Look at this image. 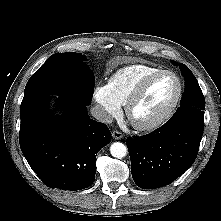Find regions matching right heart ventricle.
<instances>
[{"instance_id": "right-heart-ventricle-1", "label": "right heart ventricle", "mask_w": 221, "mask_h": 221, "mask_svg": "<svg viewBox=\"0 0 221 221\" xmlns=\"http://www.w3.org/2000/svg\"><path fill=\"white\" fill-rule=\"evenodd\" d=\"M159 70L161 69L147 64L127 65L112 74L107 86L114 99L120 105H125L139 82L144 77Z\"/></svg>"}]
</instances>
